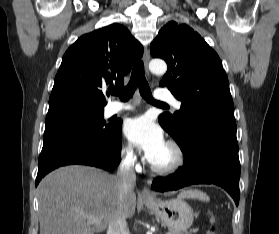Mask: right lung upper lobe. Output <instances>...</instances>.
<instances>
[{
  "mask_svg": "<svg viewBox=\"0 0 279 234\" xmlns=\"http://www.w3.org/2000/svg\"><path fill=\"white\" fill-rule=\"evenodd\" d=\"M142 54L141 44L117 23L81 36L63 56L49 110L68 105L103 109L107 102L102 89L123 86Z\"/></svg>",
  "mask_w": 279,
  "mask_h": 234,
  "instance_id": "obj_1",
  "label": "right lung upper lobe"
}]
</instances>
